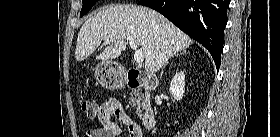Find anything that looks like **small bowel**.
I'll use <instances>...</instances> for the list:
<instances>
[{"label":"small bowel","mask_w":280,"mask_h":137,"mask_svg":"<svg viewBox=\"0 0 280 137\" xmlns=\"http://www.w3.org/2000/svg\"><path fill=\"white\" fill-rule=\"evenodd\" d=\"M112 118H115L119 123L129 125L130 137H133L132 131L134 129L140 132V129L132 124L131 118L126 114L121 104L115 98H109L101 105L98 112L100 126L88 130L84 137H120L121 129Z\"/></svg>","instance_id":"obj_1"}]
</instances>
